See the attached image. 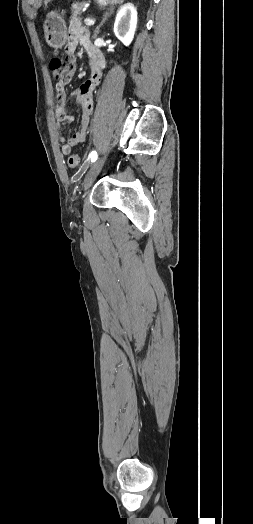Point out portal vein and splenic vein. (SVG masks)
Masks as SVG:
<instances>
[{"label": "portal vein and splenic vein", "instance_id": "portal-vein-and-splenic-vein-1", "mask_svg": "<svg viewBox=\"0 0 253 524\" xmlns=\"http://www.w3.org/2000/svg\"><path fill=\"white\" fill-rule=\"evenodd\" d=\"M84 23L86 25L90 26V25H94L95 21L93 19H91V18H86V19H84Z\"/></svg>", "mask_w": 253, "mask_h": 524}]
</instances>
